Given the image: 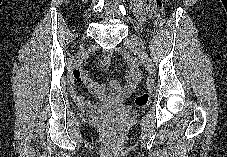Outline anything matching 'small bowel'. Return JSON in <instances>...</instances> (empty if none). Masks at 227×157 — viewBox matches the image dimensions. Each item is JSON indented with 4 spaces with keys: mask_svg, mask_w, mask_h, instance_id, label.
Masks as SVG:
<instances>
[{
    "mask_svg": "<svg viewBox=\"0 0 227 157\" xmlns=\"http://www.w3.org/2000/svg\"><path fill=\"white\" fill-rule=\"evenodd\" d=\"M109 61V56L106 54L101 64L106 66ZM129 69L126 76V83L122 86L118 82L112 81L107 88L99 85L87 72L80 68H76L71 74L70 94L78 106L85 109H97L103 106L107 101H119L126 98L135 88L140 77V71L134 61L130 58L127 59ZM76 82H83L90 92L97 98L95 102L85 99L77 92Z\"/></svg>",
    "mask_w": 227,
    "mask_h": 157,
    "instance_id": "c3829d8e",
    "label": "small bowel"
}]
</instances>
